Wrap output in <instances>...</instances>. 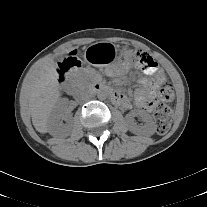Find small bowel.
<instances>
[{
	"label": "small bowel",
	"mask_w": 207,
	"mask_h": 207,
	"mask_svg": "<svg viewBox=\"0 0 207 207\" xmlns=\"http://www.w3.org/2000/svg\"><path fill=\"white\" fill-rule=\"evenodd\" d=\"M150 58V57H149ZM127 62L121 64L117 67H111L107 70V74L111 77H116L123 74L127 69ZM148 74V73H146ZM148 75L154 76L152 79L143 77L140 79L141 88L136 92V105L146 111H151L153 108V100L159 84L164 79L163 71L158 67L157 71L154 73H149ZM114 101L124 107H131V103L120 92L115 93Z\"/></svg>",
	"instance_id": "obj_1"
}]
</instances>
